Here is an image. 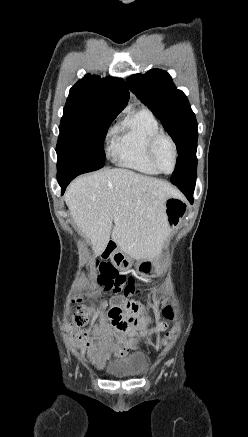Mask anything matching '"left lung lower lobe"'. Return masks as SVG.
I'll use <instances>...</instances> for the list:
<instances>
[{
    "instance_id": "1",
    "label": "left lung lower lobe",
    "mask_w": 248,
    "mask_h": 437,
    "mask_svg": "<svg viewBox=\"0 0 248 437\" xmlns=\"http://www.w3.org/2000/svg\"><path fill=\"white\" fill-rule=\"evenodd\" d=\"M194 188L195 185L191 187H179V189L184 193V195L187 197L191 204L193 203Z\"/></svg>"
}]
</instances>
